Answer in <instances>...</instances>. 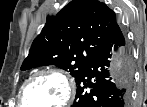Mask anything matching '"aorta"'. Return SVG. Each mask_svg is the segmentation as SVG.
<instances>
[{"label":"aorta","mask_w":147,"mask_h":107,"mask_svg":"<svg viewBox=\"0 0 147 107\" xmlns=\"http://www.w3.org/2000/svg\"><path fill=\"white\" fill-rule=\"evenodd\" d=\"M128 62V54L124 53L122 50H118L114 53L110 63V76L114 83L119 84L129 75L130 69Z\"/></svg>","instance_id":"1"}]
</instances>
